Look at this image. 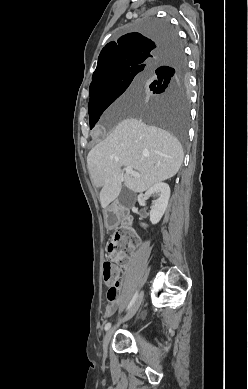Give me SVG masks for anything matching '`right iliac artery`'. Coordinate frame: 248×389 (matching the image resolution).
<instances>
[{
  "label": "right iliac artery",
  "instance_id": "obj_1",
  "mask_svg": "<svg viewBox=\"0 0 248 389\" xmlns=\"http://www.w3.org/2000/svg\"><path fill=\"white\" fill-rule=\"evenodd\" d=\"M137 296H138V292H136L135 295L133 296L132 300L130 301V303H129L128 307H127V310H129L131 308V306L134 304ZM110 327H111V323H107L105 325V330H109Z\"/></svg>",
  "mask_w": 248,
  "mask_h": 389
}]
</instances>
